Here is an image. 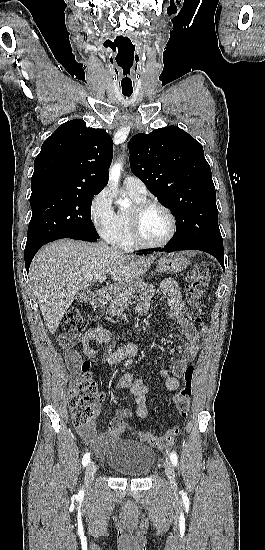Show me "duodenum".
<instances>
[{"label":"duodenum","mask_w":265,"mask_h":550,"mask_svg":"<svg viewBox=\"0 0 265 550\" xmlns=\"http://www.w3.org/2000/svg\"><path fill=\"white\" fill-rule=\"evenodd\" d=\"M108 296L105 292L99 291L96 293V295L93 298V306L96 309L101 308L107 301Z\"/></svg>","instance_id":"duodenum-1"}]
</instances>
